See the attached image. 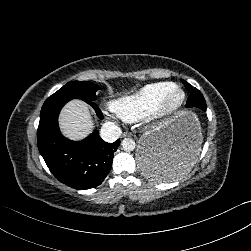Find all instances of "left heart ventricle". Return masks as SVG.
<instances>
[{
  "instance_id": "obj_1",
  "label": "left heart ventricle",
  "mask_w": 251,
  "mask_h": 251,
  "mask_svg": "<svg viewBox=\"0 0 251 251\" xmlns=\"http://www.w3.org/2000/svg\"><path fill=\"white\" fill-rule=\"evenodd\" d=\"M168 91L171 93V97L165 107L166 111H173L175 110L182 101V94L176 91L174 88L170 87Z\"/></svg>"
}]
</instances>
